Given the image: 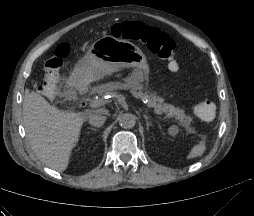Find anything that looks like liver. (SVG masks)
I'll return each mask as SVG.
<instances>
[{
  "label": "liver",
  "instance_id": "obj_1",
  "mask_svg": "<svg viewBox=\"0 0 254 216\" xmlns=\"http://www.w3.org/2000/svg\"><path fill=\"white\" fill-rule=\"evenodd\" d=\"M87 118L81 112L59 110L35 92L26 91L23 99V122L31 148L42 163L57 171L67 169Z\"/></svg>",
  "mask_w": 254,
  "mask_h": 216
}]
</instances>
